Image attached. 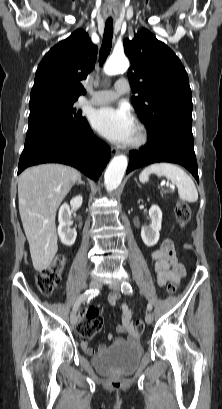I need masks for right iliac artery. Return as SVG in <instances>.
Listing matches in <instances>:
<instances>
[{
    "label": "right iliac artery",
    "instance_id": "obj_1",
    "mask_svg": "<svg viewBox=\"0 0 222 409\" xmlns=\"http://www.w3.org/2000/svg\"><path fill=\"white\" fill-rule=\"evenodd\" d=\"M99 294V290L98 289H90L87 290L86 292L82 293L78 299L76 300L74 306H73V311L76 313L80 304L85 301V300H90L93 297L97 296Z\"/></svg>",
    "mask_w": 222,
    "mask_h": 409
}]
</instances>
